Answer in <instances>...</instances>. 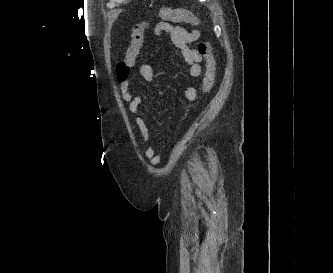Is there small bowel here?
<instances>
[{"instance_id":"small-bowel-1","label":"small bowel","mask_w":333,"mask_h":273,"mask_svg":"<svg viewBox=\"0 0 333 273\" xmlns=\"http://www.w3.org/2000/svg\"><path fill=\"white\" fill-rule=\"evenodd\" d=\"M164 33L170 35L172 43L181 50L182 55L189 66L190 74L192 77H199L201 74V57L197 54L195 48V42L200 37L198 30L187 31L185 28L171 23L159 22L155 28V34L161 37ZM141 49V47H140ZM135 54L137 56V61L132 63V67L137 66L141 77L145 81L153 80V69L152 67L143 62L138 61L139 52ZM129 48L126 55H128ZM120 92L124 101L128 103V108L130 114L133 116L134 123L139 130L143 140L148 144L145 149V157L153 164L156 165L160 162V156L156 154L154 148L149 145V131L144 119L139 116L138 109L141 103V99L135 96L130 91V79L129 76L120 80ZM185 98L187 102L193 103L198 100L199 93L196 87H190L186 90Z\"/></svg>"}]
</instances>
